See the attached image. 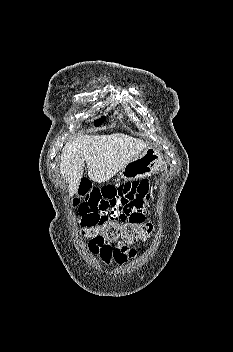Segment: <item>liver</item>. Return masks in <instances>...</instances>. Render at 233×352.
Here are the masks:
<instances>
[{
  "label": "liver",
  "mask_w": 233,
  "mask_h": 352,
  "mask_svg": "<svg viewBox=\"0 0 233 352\" xmlns=\"http://www.w3.org/2000/svg\"><path fill=\"white\" fill-rule=\"evenodd\" d=\"M148 148L147 143L123 133L81 135L68 141L62 149L60 172L69 184V196H73L79 188L84 162L89 178L103 183Z\"/></svg>",
  "instance_id": "liver-1"
}]
</instances>
